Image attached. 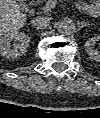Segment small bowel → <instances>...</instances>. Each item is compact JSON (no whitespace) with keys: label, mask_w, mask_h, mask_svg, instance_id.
<instances>
[{"label":"small bowel","mask_w":100,"mask_h":118,"mask_svg":"<svg viewBox=\"0 0 100 118\" xmlns=\"http://www.w3.org/2000/svg\"><path fill=\"white\" fill-rule=\"evenodd\" d=\"M77 6L83 12L92 13L98 9L99 3L97 1L89 3L84 0H77Z\"/></svg>","instance_id":"small-bowel-1"}]
</instances>
